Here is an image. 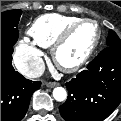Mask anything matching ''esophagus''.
Here are the masks:
<instances>
[{"label": "esophagus", "mask_w": 121, "mask_h": 121, "mask_svg": "<svg viewBox=\"0 0 121 121\" xmlns=\"http://www.w3.org/2000/svg\"><path fill=\"white\" fill-rule=\"evenodd\" d=\"M45 85L49 88H54L59 85L57 82H46Z\"/></svg>", "instance_id": "esophagus-1"}]
</instances>
